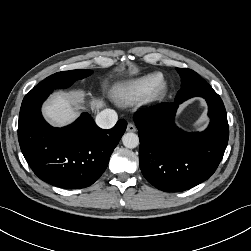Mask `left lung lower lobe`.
I'll list each match as a JSON object with an SVG mask.
<instances>
[{
    "instance_id": "obj_1",
    "label": "left lung lower lobe",
    "mask_w": 251,
    "mask_h": 251,
    "mask_svg": "<svg viewBox=\"0 0 251 251\" xmlns=\"http://www.w3.org/2000/svg\"><path fill=\"white\" fill-rule=\"evenodd\" d=\"M195 96L207 101L211 120L205 131L187 133L175 125L174 116L179 104ZM134 122L139 131L141 171L153 186L166 192L188 190L207 180L228 143L226 110L208 83L179 90L174 102L141 111Z\"/></svg>"
}]
</instances>
